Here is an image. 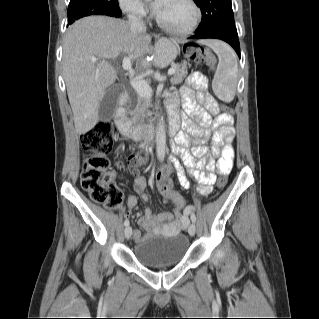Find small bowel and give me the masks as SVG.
Segmentation results:
<instances>
[{"instance_id": "small-bowel-1", "label": "small bowel", "mask_w": 319, "mask_h": 319, "mask_svg": "<svg viewBox=\"0 0 319 319\" xmlns=\"http://www.w3.org/2000/svg\"><path fill=\"white\" fill-rule=\"evenodd\" d=\"M181 94L184 99V108L187 115L195 119H190L187 115L180 117L177 102L171 100L168 105L170 117H175L180 123L182 130L175 137L172 145L173 153L169 156V161L175 169L179 184L184 188H190L187 175L181 164V159L190 168V176L197 182L196 191L199 195L211 192L212 186L217 180V173L228 175L232 169L234 158L233 138L235 136L234 117L230 113H217L212 119L206 110L210 111L211 104L215 103L207 91L205 79L199 73H193L189 81L181 87ZM206 109V110H205ZM211 112V111H210ZM211 141V147L206 143ZM211 153L215 159L206 162L205 157ZM180 156V157H179ZM171 165H168L155 180L159 187V179H169ZM115 177L116 174L112 173ZM147 182L138 179L134 183V190L141 200L147 201ZM165 202L172 203L175 208L181 204V209L176 214V220H171L166 213H154L146 208L144 215L138 220V225L147 234L166 233L176 234L184 230L189 224V216L194 210V206L185 205L183 197L173 189L161 190ZM137 204V197L130 195L127 199L128 212L131 213ZM136 243L143 240L138 230L133 231Z\"/></svg>"}]
</instances>
